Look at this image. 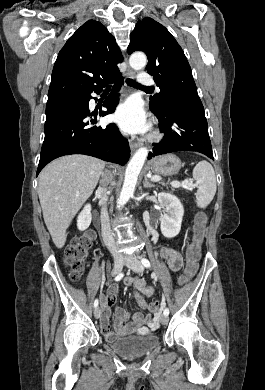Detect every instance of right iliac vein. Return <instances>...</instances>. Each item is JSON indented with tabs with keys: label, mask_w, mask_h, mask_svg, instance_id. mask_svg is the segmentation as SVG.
<instances>
[{
	"label": "right iliac vein",
	"mask_w": 265,
	"mask_h": 390,
	"mask_svg": "<svg viewBox=\"0 0 265 390\" xmlns=\"http://www.w3.org/2000/svg\"><path fill=\"white\" fill-rule=\"evenodd\" d=\"M123 265H124V258H122L120 256H116L114 258V268H113L112 274L113 275L119 274L122 271ZM100 315H101V310L99 307H96L94 309L95 318L98 319L100 317Z\"/></svg>",
	"instance_id": "1"
}]
</instances>
